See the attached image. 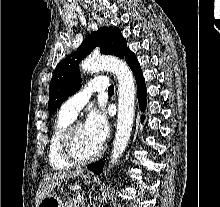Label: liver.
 I'll return each mask as SVG.
<instances>
[{"label":"liver","instance_id":"1","mask_svg":"<svg viewBox=\"0 0 220 207\" xmlns=\"http://www.w3.org/2000/svg\"><path fill=\"white\" fill-rule=\"evenodd\" d=\"M84 173L83 170L76 171H64V172H55L53 174L47 175L41 182L37 195H36V207L41 202V200L49 195L51 191L62 181L68 180L70 178H75Z\"/></svg>","mask_w":220,"mask_h":207}]
</instances>
